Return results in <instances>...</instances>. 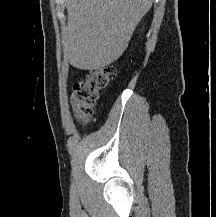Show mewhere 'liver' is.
<instances>
[{
    "mask_svg": "<svg viewBox=\"0 0 216 217\" xmlns=\"http://www.w3.org/2000/svg\"><path fill=\"white\" fill-rule=\"evenodd\" d=\"M153 0H66L67 27L62 33L69 63L98 70L125 51Z\"/></svg>",
    "mask_w": 216,
    "mask_h": 217,
    "instance_id": "6515ba94",
    "label": "liver"
}]
</instances>
